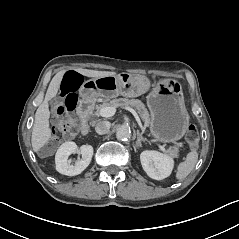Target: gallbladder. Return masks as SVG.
Wrapping results in <instances>:
<instances>
[{
    "label": "gallbladder",
    "mask_w": 239,
    "mask_h": 239,
    "mask_svg": "<svg viewBox=\"0 0 239 239\" xmlns=\"http://www.w3.org/2000/svg\"><path fill=\"white\" fill-rule=\"evenodd\" d=\"M49 103L52 104V101H50ZM45 150H46V148H42V149L39 151V153L44 152Z\"/></svg>",
    "instance_id": "obj_1"
}]
</instances>
